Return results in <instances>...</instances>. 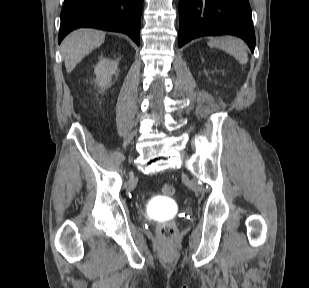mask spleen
Returning a JSON list of instances; mask_svg holds the SVG:
<instances>
[{"mask_svg":"<svg viewBox=\"0 0 309 288\" xmlns=\"http://www.w3.org/2000/svg\"><path fill=\"white\" fill-rule=\"evenodd\" d=\"M208 45L223 49L232 55L240 64H246L248 61L247 47L241 39L229 36L211 38Z\"/></svg>","mask_w":309,"mask_h":288,"instance_id":"obj_1","label":"spleen"}]
</instances>
